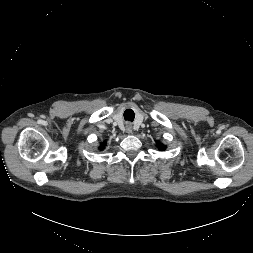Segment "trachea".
Wrapping results in <instances>:
<instances>
[{"label":"trachea","mask_w":253,"mask_h":253,"mask_svg":"<svg viewBox=\"0 0 253 253\" xmlns=\"http://www.w3.org/2000/svg\"><path fill=\"white\" fill-rule=\"evenodd\" d=\"M135 117V113L132 109H126L124 112V119L127 121H133Z\"/></svg>","instance_id":"trachea-1"}]
</instances>
